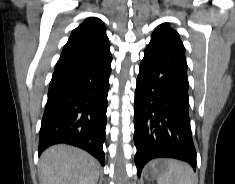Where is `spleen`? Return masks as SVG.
Masks as SVG:
<instances>
[{"mask_svg":"<svg viewBox=\"0 0 235 184\" xmlns=\"http://www.w3.org/2000/svg\"><path fill=\"white\" fill-rule=\"evenodd\" d=\"M157 184H197L198 180L193 168L179 160H164L161 174H158Z\"/></svg>","mask_w":235,"mask_h":184,"instance_id":"spleen-1","label":"spleen"}]
</instances>
